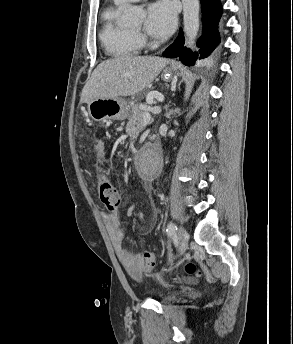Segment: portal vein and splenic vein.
Listing matches in <instances>:
<instances>
[{
    "instance_id": "portal-vein-and-splenic-vein-1",
    "label": "portal vein and splenic vein",
    "mask_w": 293,
    "mask_h": 344,
    "mask_svg": "<svg viewBox=\"0 0 293 344\" xmlns=\"http://www.w3.org/2000/svg\"><path fill=\"white\" fill-rule=\"evenodd\" d=\"M150 119H151L150 113L145 111L143 113V124H145V125L148 124L150 122Z\"/></svg>"
}]
</instances>
